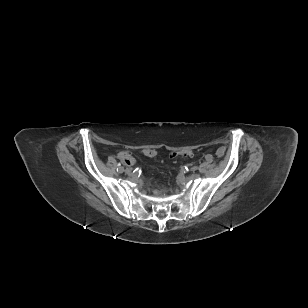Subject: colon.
Instances as JSON below:
<instances>
[{
  "label": "colon",
  "instance_id": "1",
  "mask_svg": "<svg viewBox=\"0 0 308 308\" xmlns=\"http://www.w3.org/2000/svg\"><path fill=\"white\" fill-rule=\"evenodd\" d=\"M143 154L148 157H153L156 155V151L153 149H144ZM182 154L192 155L193 153L189 151V152H183ZM175 156H177V153L171 154V157H175ZM118 158L126 164H131L133 161V158L131 157V155L128 152H124V151L118 153Z\"/></svg>",
  "mask_w": 308,
  "mask_h": 308
}]
</instances>
